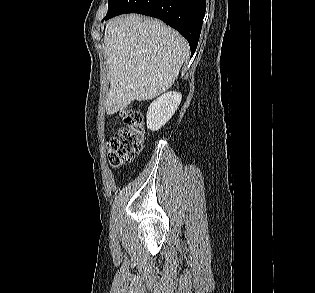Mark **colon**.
Listing matches in <instances>:
<instances>
[{
    "mask_svg": "<svg viewBox=\"0 0 315 293\" xmlns=\"http://www.w3.org/2000/svg\"><path fill=\"white\" fill-rule=\"evenodd\" d=\"M124 126L109 140V160L112 165L133 160L143 149L145 128L143 113L139 109H126L120 113Z\"/></svg>",
    "mask_w": 315,
    "mask_h": 293,
    "instance_id": "obj_1",
    "label": "colon"
}]
</instances>
